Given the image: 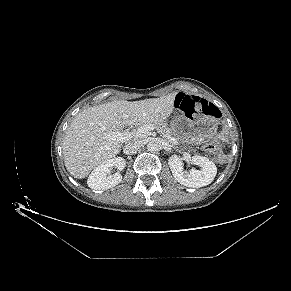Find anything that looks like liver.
<instances>
[{
	"mask_svg": "<svg viewBox=\"0 0 291 291\" xmlns=\"http://www.w3.org/2000/svg\"><path fill=\"white\" fill-rule=\"evenodd\" d=\"M176 93L140 101H112L83 110L68 127L62 145L64 163L74 178H85L92 169L115 157L121 142L108 135L124 126L164 120L174 110Z\"/></svg>",
	"mask_w": 291,
	"mask_h": 291,
	"instance_id": "obj_1",
	"label": "liver"
}]
</instances>
